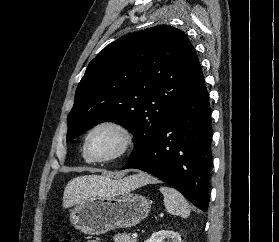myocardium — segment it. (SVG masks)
Masks as SVG:
<instances>
[{"label":"myocardium","mask_w":279,"mask_h":242,"mask_svg":"<svg viewBox=\"0 0 279 242\" xmlns=\"http://www.w3.org/2000/svg\"><path fill=\"white\" fill-rule=\"evenodd\" d=\"M102 128H111L117 131L121 136V144L119 148L111 155L103 158H95L90 155L88 144L91 136L98 130ZM134 144V134L132 130L125 125L124 123L113 120V119H106L97 122L94 124L86 133L83 143V153L86 156V158L90 162L94 163H108L112 161H116L118 159H121L124 157L133 147Z\"/></svg>","instance_id":"myocardium-1"}]
</instances>
